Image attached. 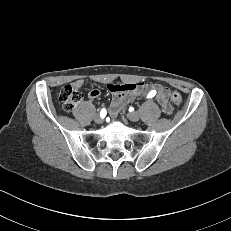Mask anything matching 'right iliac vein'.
Here are the masks:
<instances>
[{
    "instance_id": "obj_1",
    "label": "right iliac vein",
    "mask_w": 231,
    "mask_h": 231,
    "mask_svg": "<svg viewBox=\"0 0 231 231\" xmlns=\"http://www.w3.org/2000/svg\"><path fill=\"white\" fill-rule=\"evenodd\" d=\"M94 121H95V123H97V124H101V123L103 122V119H102L99 115H96V116L94 117Z\"/></svg>"
}]
</instances>
